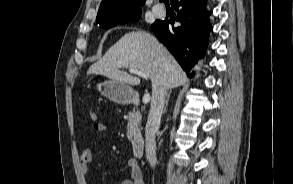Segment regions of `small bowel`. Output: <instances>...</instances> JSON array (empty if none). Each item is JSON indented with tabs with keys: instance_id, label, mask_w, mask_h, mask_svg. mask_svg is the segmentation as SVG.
<instances>
[{
	"instance_id": "1",
	"label": "small bowel",
	"mask_w": 293,
	"mask_h": 184,
	"mask_svg": "<svg viewBox=\"0 0 293 184\" xmlns=\"http://www.w3.org/2000/svg\"><path fill=\"white\" fill-rule=\"evenodd\" d=\"M108 126L104 122H95L93 130L101 133L107 131ZM80 162L84 173H88L91 170L93 164V153L91 148H84L80 154ZM127 168L129 171V177L124 179L120 184H144L142 171L136 159L130 158L127 161Z\"/></svg>"
}]
</instances>
